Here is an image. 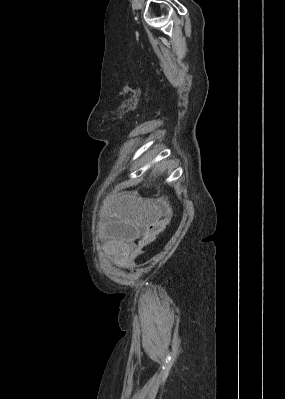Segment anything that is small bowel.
<instances>
[{
	"label": "small bowel",
	"mask_w": 285,
	"mask_h": 399,
	"mask_svg": "<svg viewBox=\"0 0 285 399\" xmlns=\"http://www.w3.org/2000/svg\"><path fill=\"white\" fill-rule=\"evenodd\" d=\"M138 208L131 218V226L135 227L132 238V248L137 241L150 237L156 224V215L152 211L153 201L139 200ZM130 250V248H127Z\"/></svg>",
	"instance_id": "c3829d8e"
}]
</instances>
